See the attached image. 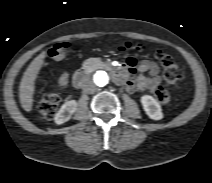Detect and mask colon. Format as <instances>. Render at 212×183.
<instances>
[{"label":"colon","instance_id":"colon-1","mask_svg":"<svg viewBox=\"0 0 212 183\" xmlns=\"http://www.w3.org/2000/svg\"><path fill=\"white\" fill-rule=\"evenodd\" d=\"M126 51H141L139 46L126 44L124 47ZM72 52V45L68 42L57 43L52 46L48 54L51 58L62 60L67 58ZM156 58L160 61L163 67V80L167 86H174L179 84L183 79V72L180 67L175 63L173 58L162 50L155 53ZM156 99L165 104L170 100L169 92L160 87L155 92ZM60 103V97L56 92H51L44 95L38 104V113L44 119H50L54 116Z\"/></svg>","mask_w":212,"mask_h":183}]
</instances>
